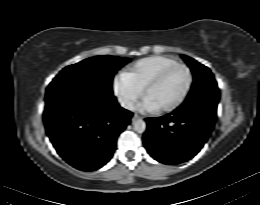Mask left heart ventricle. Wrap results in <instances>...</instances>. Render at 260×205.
<instances>
[{"mask_svg":"<svg viewBox=\"0 0 260 205\" xmlns=\"http://www.w3.org/2000/svg\"><path fill=\"white\" fill-rule=\"evenodd\" d=\"M187 81V71L182 67H175L149 90L145 98L158 108L169 105L181 95Z\"/></svg>","mask_w":260,"mask_h":205,"instance_id":"obj_1","label":"left heart ventricle"}]
</instances>
